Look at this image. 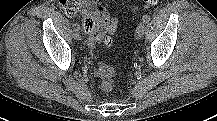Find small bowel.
<instances>
[{"label": "small bowel", "mask_w": 217, "mask_h": 121, "mask_svg": "<svg viewBox=\"0 0 217 121\" xmlns=\"http://www.w3.org/2000/svg\"><path fill=\"white\" fill-rule=\"evenodd\" d=\"M118 27V19L117 17H112L111 19L108 17L107 28L103 34H93L88 33L87 43L91 48H95L97 45L103 42L106 34L113 35Z\"/></svg>", "instance_id": "small-bowel-1"}]
</instances>
